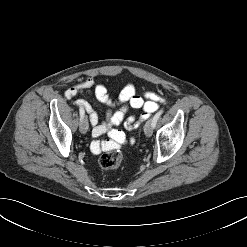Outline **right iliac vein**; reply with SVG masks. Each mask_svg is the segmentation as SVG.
<instances>
[{
	"label": "right iliac vein",
	"mask_w": 247,
	"mask_h": 247,
	"mask_svg": "<svg viewBox=\"0 0 247 247\" xmlns=\"http://www.w3.org/2000/svg\"><path fill=\"white\" fill-rule=\"evenodd\" d=\"M80 131L82 134H85L88 131V120L83 118L80 124Z\"/></svg>",
	"instance_id": "right-iliac-vein-1"
}]
</instances>
